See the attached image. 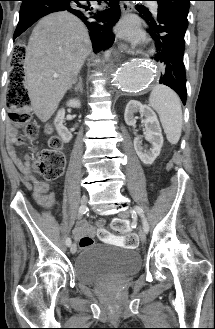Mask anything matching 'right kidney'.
<instances>
[{"label": "right kidney", "mask_w": 215, "mask_h": 329, "mask_svg": "<svg viewBox=\"0 0 215 329\" xmlns=\"http://www.w3.org/2000/svg\"><path fill=\"white\" fill-rule=\"evenodd\" d=\"M67 106L73 107V108H79L81 106V103H80V100H78V99H71L67 102ZM64 117H65V110L60 109L54 119V125H55V128H56L58 134L61 136L62 140L65 143H68L72 139V134L63 125Z\"/></svg>", "instance_id": "1"}]
</instances>
